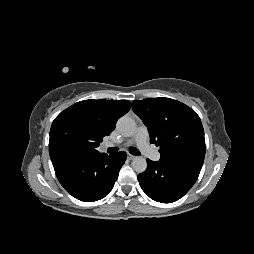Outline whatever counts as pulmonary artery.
Here are the masks:
<instances>
[{
    "label": "pulmonary artery",
    "mask_w": 254,
    "mask_h": 254,
    "mask_svg": "<svg viewBox=\"0 0 254 254\" xmlns=\"http://www.w3.org/2000/svg\"><path fill=\"white\" fill-rule=\"evenodd\" d=\"M148 130L144 126H140L137 128L134 136L128 140L125 145L130 146L132 144H136L138 148L151 160L158 161L160 159V154L157 150H155L148 143ZM105 146H110V144H106Z\"/></svg>",
    "instance_id": "1"
}]
</instances>
